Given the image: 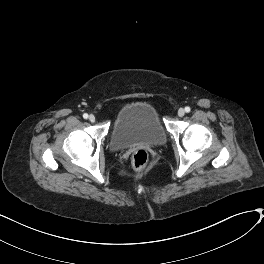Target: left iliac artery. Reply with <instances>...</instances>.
Wrapping results in <instances>:
<instances>
[{"label":"left iliac artery","instance_id":"1","mask_svg":"<svg viewBox=\"0 0 264 264\" xmlns=\"http://www.w3.org/2000/svg\"><path fill=\"white\" fill-rule=\"evenodd\" d=\"M190 110H191V109H190V107H188V106H187V107H185V112H187V113H188V112H190Z\"/></svg>","mask_w":264,"mask_h":264}]
</instances>
